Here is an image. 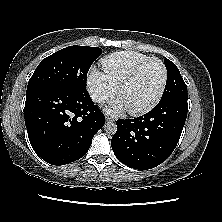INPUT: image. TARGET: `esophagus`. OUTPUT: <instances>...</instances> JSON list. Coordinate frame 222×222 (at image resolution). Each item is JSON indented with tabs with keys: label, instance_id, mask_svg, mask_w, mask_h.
<instances>
[{
	"label": "esophagus",
	"instance_id": "34e87169",
	"mask_svg": "<svg viewBox=\"0 0 222 222\" xmlns=\"http://www.w3.org/2000/svg\"><path fill=\"white\" fill-rule=\"evenodd\" d=\"M106 122H114L115 120L112 118V117H110V116H106Z\"/></svg>",
	"mask_w": 222,
	"mask_h": 222
}]
</instances>
